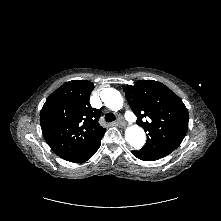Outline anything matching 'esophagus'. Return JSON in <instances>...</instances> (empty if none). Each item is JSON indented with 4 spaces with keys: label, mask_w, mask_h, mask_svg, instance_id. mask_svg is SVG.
<instances>
[{
    "label": "esophagus",
    "mask_w": 221,
    "mask_h": 221,
    "mask_svg": "<svg viewBox=\"0 0 221 221\" xmlns=\"http://www.w3.org/2000/svg\"><path fill=\"white\" fill-rule=\"evenodd\" d=\"M117 125L120 126V127H124L125 126L124 120L122 118H118Z\"/></svg>",
    "instance_id": "1"
}]
</instances>
